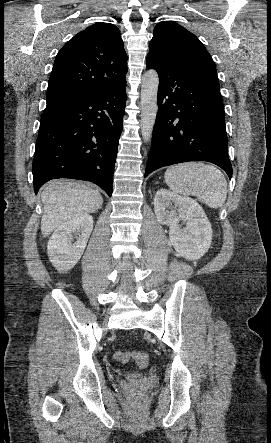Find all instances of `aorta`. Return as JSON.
Masks as SVG:
<instances>
[{
	"label": "aorta",
	"mask_w": 271,
	"mask_h": 443,
	"mask_svg": "<svg viewBox=\"0 0 271 443\" xmlns=\"http://www.w3.org/2000/svg\"><path fill=\"white\" fill-rule=\"evenodd\" d=\"M159 76L156 70H147L141 84V134L144 142H150L158 112L157 94Z\"/></svg>",
	"instance_id": "aorta-1"
}]
</instances>
